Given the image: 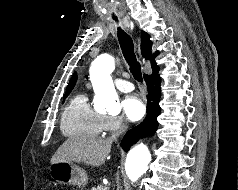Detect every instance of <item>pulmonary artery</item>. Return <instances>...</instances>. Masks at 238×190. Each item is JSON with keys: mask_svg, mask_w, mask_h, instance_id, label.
I'll use <instances>...</instances> for the list:
<instances>
[{"mask_svg": "<svg viewBox=\"0 0 238 190\" xmlns=\"http://www.w3.org/2000/svg\"><path fill=\"white\" fill-rule=\"evenodd\" d=\"M115 85L122 92H130L134 89V86L131 82L123 79H117L115 81Z\"/></svg>", "mask_w": 238, "mask_h": 190, "instance_id": "e3ab8cb5", "label": "pulmonary artery"}]
</instances>
